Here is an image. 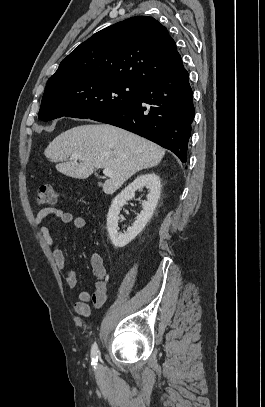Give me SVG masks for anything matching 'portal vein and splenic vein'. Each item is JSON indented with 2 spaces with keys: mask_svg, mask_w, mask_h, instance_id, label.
<instances>
[{
  "mask_svg": "<svg viewBox=\"0 0 265 407\" xmlns=\"http://www.w3.org/2000/svg\"><path fill=\"white\" fill-rule=\"evenodd\" d=\"M78 157H79L78 155H73V156H71V159L75 160V159H78ZM103 174L110 177V176H112V171L108 168H105L103 170Z\"/></svg>",
  "mask_w": 265,
  "mask_h": 407,
  "instance_id": "1",
  "label": "portal vein and splenic vein"
}]
</instances>
